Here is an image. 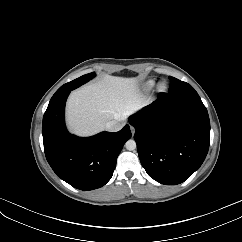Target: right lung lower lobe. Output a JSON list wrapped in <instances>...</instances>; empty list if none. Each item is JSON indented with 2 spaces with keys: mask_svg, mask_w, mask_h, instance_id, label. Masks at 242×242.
Here are the masks:
<instances>
[{
  "mask_svg": "<svg viewBox=\"0 0 242 242\" xmlns=\"http://www.w3.org/2000/svg\"><path fill=\"white\" fill-rule=\"evenodd\" d=\"M71 90L54 95L43 116V143L48 163L65 182L80 190L105 185L113 175L117 157L130 139L129 125L111 133L102 132L88 138L68 133L64 110Z\"/></svg>",
  "mask_w": 242,
  "mask_h": 242,
  "instance_id": "98d812e1",
  "label": "right lung lower lobe"
}]
</instances>
